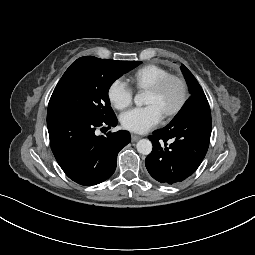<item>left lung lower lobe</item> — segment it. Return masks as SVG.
<instances>
[{
	"mask_svg": "<svg viewBox=\"0 0 255 255\" xmlns=\"http://www.w3.org/2000/svg\"><path fill=\"white\" fill-rule=\"evenodd\" d=\"M211 126L205 94L192 95L170 124L149 137L153 144L145 160L149 174L164 184L179 183L191 176L206 155Z\"/></svg>",
	"mask_w": 255,
	"mask_h": 255,
	"instance_id": "left-lung-lower-lobe-1",
	"label": "left lung lower lobe"
}]
</instances>
